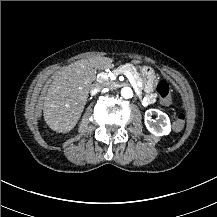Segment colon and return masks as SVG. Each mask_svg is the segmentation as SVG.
Instances as JSON below:
<instances>
[{
    "mask_svg": "<svg viewBox=\"0 0 217 217\" xmlns=\"http://www.w3.org/2000/svg\"><path fill=\"white\" fill-rule=\"evenodd\" d=\"M156 91L161 98V102L164 106H171L172 100H171V85L166 80H160L157 83ZM186 122V116L184 113L179 112L174 116L173 119V127L176 131L183 130Z\"/></svg>",
    "mask_w": 217,
    "mask_h": 217,
    "instance_id": "colon-1",
    "label": "colon"
}]
</instances>
